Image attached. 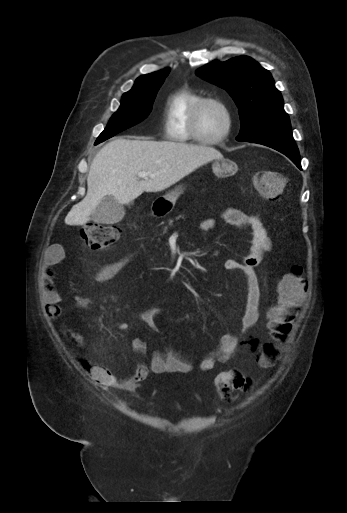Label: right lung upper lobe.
Segmentation results:
<instances>
[{"label": "right lung upper lobe", "instance_id": "obj_1", "mask_svg": "<svg viewBox=\"0 0 347 513\" xmlns=\"http://www.w3.org/2000/svg\"><path fill=\"white\" fill-rule=\"evenodd\" d=\"M169 71H170L169 69H164V70H160V71H157V72H153L151 74L140 76L136 80V82H135V84H134V86H133V88L131 90L137 88L140 85H143V84H146V83H149V82H153V81H157V80H163L168 75Z\"/></svg>", "mask_w": 347, "mask_h": 513}]
</instances>
